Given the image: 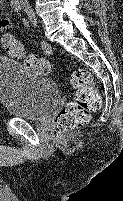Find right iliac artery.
<instances>
[{"mask_svg": "<svg viewBox=\"0 0 123 201\" xmlns=\"http://www.w3.org/2000/svg\"><path fill=\"white\" fill-rule=\"evenodd\" d=\"M11 7L14 11H20L21 10V3L18 0H12L11 1Z\"/></svg>", "mask_w": 123, "mask_h": 201, "instance_id": "right-iliac-artery-1", "label": "right iliac artery"}]
</instances>
